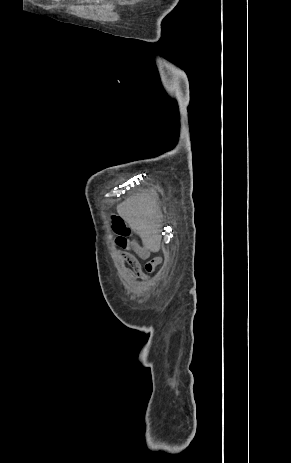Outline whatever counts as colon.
I'll use <instances>...</instances> for the list:
<instances>
[{
    "label": "colon",
    "instance_id": "colon-1",
    "mask_svg": "<svg viewBox=\"0 0 291 463\" xmlns=\"http://www.w3.org/2000/svg\"><path fill=\"white\" fill-rule=\"evenodd\" d=\"M111 222L113 232L117 237L130 234L129 228L121 217L114 215L111 217ZM147 268L149 269L150 265H148Z\"/></svg>",
    "mask_w": 291,
    "mask_h": 463
}]
</instances>
